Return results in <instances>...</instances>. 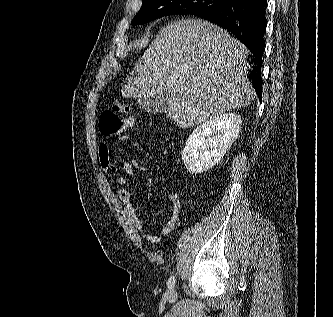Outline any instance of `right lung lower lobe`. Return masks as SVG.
<instances>
[{
    "label": "right lung lower lobe",
    "instance_id": "1",
    "mask_svg": "<svg viewBox=\"0 0 333 317\" xmlns=\"http://www.w3.org/2000/svg\"><path fill=\"white\" fill-rule=\"evenodd\" d=\"M266 0H228L222 6L196 16L228 30L253 54V88L262 97L261 66L265 48Z\"/></svg>",
    "mask_w": 333,
    "mask_h": 317
}]
</instances>
